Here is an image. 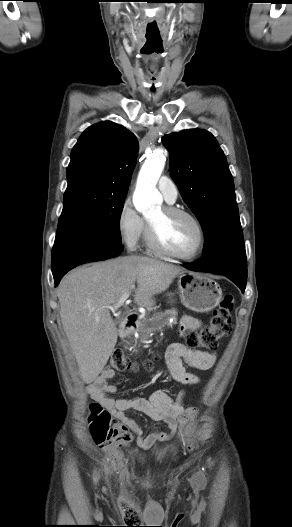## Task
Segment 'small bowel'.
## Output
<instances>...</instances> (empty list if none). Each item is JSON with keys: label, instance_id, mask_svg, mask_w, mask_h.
<instances>
[{"label": "small bowel", "instance_id": "obj_1", "mask_svg": "<svg viewBox=\"0 0 292 527\" xmlns=\"http://www.w3.org/2000/svg\"><path fill=\"white\" fill-rule=\"evenodd\" d=\"M200 325L201 322L198 319L192 316H184L181 320L180 331L197 329ZM215 361V353L192 350L181 343L171 344L166 351V364L171 377L185 385L197 384L199 377L187 371L184 362L192 368L208 370L213 367ZM113 377V370H105L90 385V394L98 399L116 420L136 435L137 445L140 448L147 450L158 441H168L172 438L183 440L189 450L196 448L200 440L196 424L197 410L184 408L185 392H181L175 400L164 391H156L148 398H113L110 396L116 393L117 387L108 383ZM128 411L143 413L157 423H166L169 432L154 428L145 435L141 425L126 415Z\"/></svg>", "mask_w": 292, "mask_h": 527}]
</instances>
